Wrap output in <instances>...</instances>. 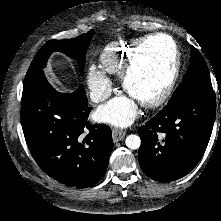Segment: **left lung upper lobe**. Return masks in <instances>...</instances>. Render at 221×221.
<instances>
[{"instance_id": "left-lung-upper-lobe-1", "label": "left lung upper lobe", "mask_w": 221, "mask_h": 221, "mask_svg": "<svg viewBox=\"0 0 221 221\" xmlns=\"http://www.w3.org/2000/svg\"><path fill=\"white\" fill-rule=\"evenodd\" d=\"M195 87L213 90L206 62L200 52L191 46L190 65L183 76L181 84L177 87L168 103L175 101L185 92Z\"/></svg>"}]
</instances>
